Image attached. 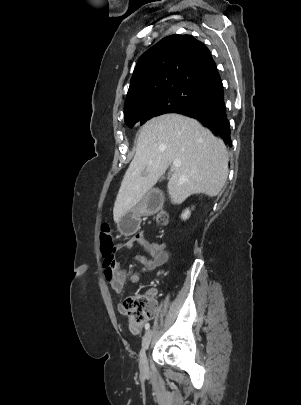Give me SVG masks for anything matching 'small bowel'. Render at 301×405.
<instances>
[{"mask_svg": "<svg viewBox=\"0 0 301 405\" xmlns=\"http://www.w3.org/2000/svg\"><path fill=\"white\" fill-rule=\"evenodd\" d=\"M135 244L143 247L147 254H136L135 259L142 264L147 270H153L164 264L168 259L164 245L159 242H153L146 238L143 232L134 234L129 240L118 245V249L132 250ZM104 277L110 285L113 292L117 295L123 293L126 284L137 283L140 280L138 273L129 274L123 267L121 260L113 257L111 266L104 265ZM157 295L155 288H150L146 292V297L154 300ZM121 314H124L122 305L118 306Z\"/></svg>", "mask_w": 301, "mask_h": 405, "instance_id": "1", "label": "small bowel"}]
</instances>
